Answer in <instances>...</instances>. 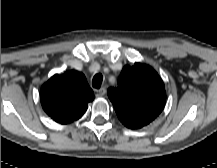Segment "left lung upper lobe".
Wrapping results in <instances>:
<instances>
[{"mask_svg": "<svg viewBox=\"0 0 217 168\" xmlns=\"http://www.w3.org/2000/svg\"><path fill=\"white\" fill-rule=\"evenodd\" d=\"M119 120L130 129H140L152 122L164 109V83L149 65H126L118 79V87L108 90Z\"/></svg>", "mask_w": 217, "mask_h": 168, "instance_id": "5c2ea615", "label": "left lung upper lobe"}]
</instances>
